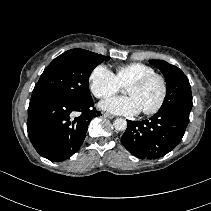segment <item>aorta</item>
<instances>
[{"label": "aorta", "instance_id": "762f6f07", "mask_svg": "<svg viewBox=\"0 0 211 211\" xmlns=\"http://www.w3.org/2000/svg\"><path fill=\"white\" fill-rule=\"evenodd\" d=\"M114 128L118 131H124L127 128V122L125 119L117 118L114 123Z\"/></svg>", "mask_w": 211, "mask_h": 211}]
</instances>
